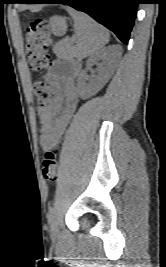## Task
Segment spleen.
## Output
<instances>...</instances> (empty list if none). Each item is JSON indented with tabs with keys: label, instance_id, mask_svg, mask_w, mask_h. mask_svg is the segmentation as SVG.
<instances>
[{
	"label": "spleen",
	"instance_id": "obj_1",
	"mask_svg": "<svg viewBox=\"0 0 166 267\" xmlns=\"http://www.w3.org/2000/svg\"><path fill=\"white\" fill-rule=\"evenodd\" d=\"M74 20L77 36L76 46L72 49L78 59L97 53L109 41V33L94 19L85 13L66 8Z\"/></svg>",
	"mask_w": 166,
	"mask_h": 267
}]
</instances>
